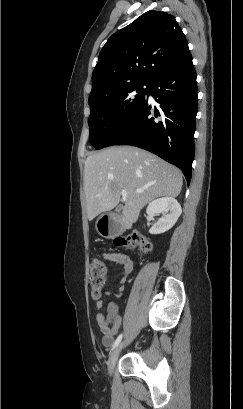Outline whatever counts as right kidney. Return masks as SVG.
<instances>
[{"mask_svg":"<svg viewBox=\"0 0 243 409\" xmlns=\"http://www.w3.org/2000/svg\"><path fill=\"white\" fill-rule=\"evenodd\" d=\"M146 213L149 217L162 214V217L149 230L150 234H161L171 229L182 213L180 204L175 198L164 197L149 203Z\"/></svg>","mask_w":243,"mask_h":409,"instance_id":"right-kidney-1","label":"right kidney"}]
</instances>
